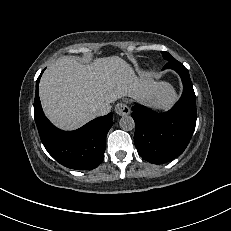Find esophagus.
I'll return each mask as SVG.
<instances>
[{
    "label": "esophagus",
    "instance_id": "esophagus-1",
    "mask_svg": "<svg viewBox=\"0 0 231 231\" xmlns=\"http://www.w3.org/2000/svg\"><path fill=\"white\" fill-rule=\"evenodd\" d=\"M115 112L120 116L128 115L130 113V108L126 103L119 102L115 105Z\"/></svg>",
    "mask_w": 231,
    "mask_h": 231
}]
</instances>
